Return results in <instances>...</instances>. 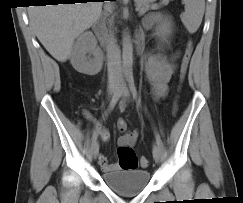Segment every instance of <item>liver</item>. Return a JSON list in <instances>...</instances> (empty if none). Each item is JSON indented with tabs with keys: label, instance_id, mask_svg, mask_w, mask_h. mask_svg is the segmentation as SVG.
I'll return each instance as SVG.
<instances>
[{
	"label": "liver",
	"instance_id": "liver-1",
	"mask_svg": "<svg viewBox=\"0 0 243 203\" xmlns=\"http://www.w3.org/2000/svg\"><path fill=\"white\" fill-rule=\"evenodd\" d=\"M102 2L30 6V24L45 49L64 62L72 52L74 39L101 16Z\"/></svg>",
	"mask_w": 243,
	"mask_h": 203
}]
</instances>
